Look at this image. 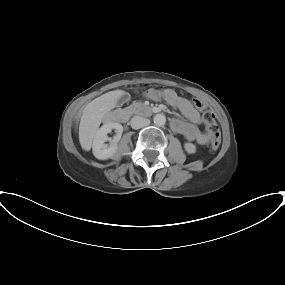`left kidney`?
<instances>
[{
    "instance_id": "obj_1",
    "label": "left kidney",
    "mask_w": 285,
    "mask_h": 285,
    "mask_svg": "<svg viewBox=\"0 0 285 285\" xmlns=\"http://www.w3.org/2000/svg\"><path fill=\"white\" fill-rule=\"evenodd\" d=\"M184 149L189 154H193L196 152V146L190 142L184 144Z\"/></svg>"
}]
</instances>
